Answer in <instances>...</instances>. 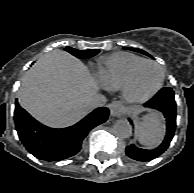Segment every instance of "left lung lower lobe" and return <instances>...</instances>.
<instances>
[{
	"label": "left lung lower lobe",
	"mask_w": 194,
	"mask_h": 193,
	"mask_svg": "<svg viewBox=\"0 0 194 193\" xmlns=\"http://www.w3.org/2000/svg\"><path fill=\"white\" fill-rule=\"evenodd\" d=\"M144 106L162 112L166 118L167 124L165 139L158 148L154 150H145L136 147L134 144L126 147L125 152L128 157L143 162L152 160L165 152L174 136L176 126V102L174 99V91L169 87L163 88L155 97L146 102ZM129 121L132 123L130 119Z\"/></svg>",
	"instance_id": "left-lung-lower-lobe-1"
}]
</instances>
